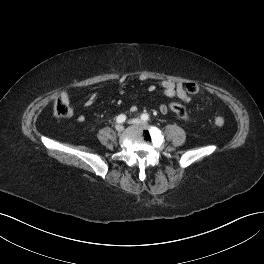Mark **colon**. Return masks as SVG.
<instances>
[{
  "label": "colon",
  "mask_w": 264,
  "mask_h": 264,
  "mask_svg": "<svg viewBox=\"0 0 264 264\" xmlns=\"http://www.w3.org/2000/svg\"><path fill=\"white\" fill-rule=\"evenodd\" d=\"M185 89H186L187 93L191 94V95L198 94L199 90H200L198 84H196L194 82L187 83L185 86ZM169 109L178 118L185 120V121H189V115H188L185 107L182 106L181 104H179L177 102H171L169 104ZM54 114L58 118H65V117L69 116L70 115L69 105L67 103H65L64 101L58 99L55 103V106H54ZM214 122L218 127H222L225 124L224 119L220 116L215 117Z\"/></svg>",
  "instance_id": "colon-1"
}]
</instances>
